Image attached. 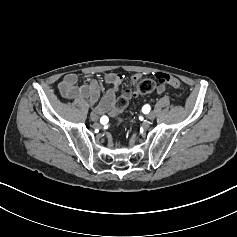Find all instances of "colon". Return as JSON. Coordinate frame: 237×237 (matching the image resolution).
I'll list each match as a JSON object with an SVG mask.
<instances>
[{
    "instance_id": "5ec220e1",
    "label": "colon",
    "mask_w": 237,
    "mask_h": 237,
    "mask_svg": "<svg viewBox=\"0 0 237 237\" xmlns=\"http://www.w3.org/2000/svg\"><path fill=\"white\" fill-rule=\"evenodd\" d=\"M156 80L160 85L169 84L173 87L179 86V81L165 73H158L156 74ZM156 87V83L149 78H145L140 80L136 85V92L138 94H149L151 93ZM128 104V98L126 96L119 97L113 105L112 109V116L116 123L120 124L122 122V118L120 114L125 110Z\"/></svg>"
}]
</instances>
